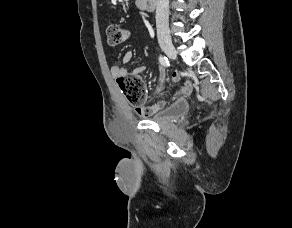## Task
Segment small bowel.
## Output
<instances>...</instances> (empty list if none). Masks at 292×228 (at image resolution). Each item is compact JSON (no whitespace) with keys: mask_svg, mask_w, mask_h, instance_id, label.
Listing matches in <instances>:
<instances>
[{"mask_svg":"<svg viewBox=\"0 0 292 228\" xmlns=\"http://www.w3.org/2000/svg\"><path fill=\"white\" fill-rule=\"evenodd\" d=\"M132 52H126L123 56L122 62L123 65H113L111 67V74L115 77V78H119L121 76H124L127 74V69L124 66L125 64L129 63L132 59ZM145 66L140 64L137 65L134 70L133 73L135 75H140L144 70H145ZM180 78V74L178 71H175L170 79L171 83H175L179 80ZM167 81V77H166V72L163 70L161 72V85L159 87H157L153 93L154 96L158 95L161 93L162 89H163V84ZM192 91V84L190 81H185L183 83V85L175 92L173 100L174 101H179L182 97L184 96H188ZM167 102L164 100L158 101L150 106H144L141 108L136 109V112L141 115V116H152L158 112H160L161 110L165 109L167 107Z\"/></svg>","mask_w":292,"mask_h":228,"instance_id":"1","label":"small bowel"}]
</instances>
